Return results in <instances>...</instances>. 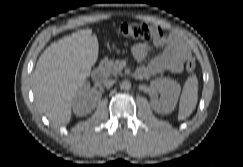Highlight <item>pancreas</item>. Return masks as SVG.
<instances>
[{"label": "pancreas", "instance_id": "cf45deb5", "mask_svg": "<svg viewBox=\"0 0 243 167\" xmlns=\"http://www.w3.org/2000/svg\"><path fill=\"white\" fill-rule=\"evenodd\" d=\"M101 68L105 76H116L122 71V67L119 65V60H106L101 64Z\"/></svg>", "mask_w": 243, "mask_h": 167}]
</instances>
